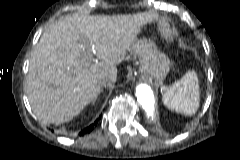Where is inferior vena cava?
Wrapping results in <instances>:
<instances>
[{"mask_svg":"<svg viewBox=\"0 0 240 160\" xmlns=\"http://www.w3.org/2000/svg\"><path fill=\"white\" fill-rule=\"evenodd\" d=\"M107 82H109V78H104L100 81L101 87L104 86Z\"/></svg>","mask_w":240,"mask_h":160,"instance_id":"1","label":"inferior vena cava"}]
</instances>
